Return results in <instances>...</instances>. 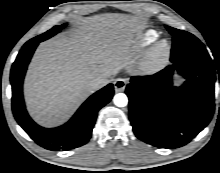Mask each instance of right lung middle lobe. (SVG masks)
<instances>
[{"instance_id":"1","label":"right lung middle lobe","mask_w":220,"mask_h":173,"mask_svg":"<svg viewBox=\"0 0 220 173\" xmlns=\"http://www.w3.org/2000/svg\"><path fill=\"white\" fill-rule=\"evenodd\" d=\"M65 26H66V24H63L61 26H55L52 29H50L49 31H47L46 33L41 34L33 39L40 40V42L44 41V40L52 37L53 35L57 34L58 32H60V30L63 29Z\"/></svg>"}]
</instances>
